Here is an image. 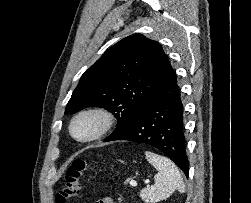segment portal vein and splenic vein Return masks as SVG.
<instances>
[{
  "label": "portal vein and splenic vein",
  "mask_w": 251,
  "mask_h": 203,
  "mask_svg": "<svg viewBox=\"0 0 251 203\" xmlns=\"http://www.w3.org/2000/svg\"><path fill=\"white\" fill-rule=\"evenodd\" d=\"M130 185L136 187V186H137V182L134 181V180H131V181H130Z\"/></svg>",
  "instance_id": "1"
}]
</instances>
